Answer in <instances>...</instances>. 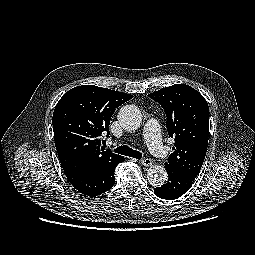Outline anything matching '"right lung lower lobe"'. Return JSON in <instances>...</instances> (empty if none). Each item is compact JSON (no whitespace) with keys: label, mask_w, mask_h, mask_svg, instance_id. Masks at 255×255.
I'll list each match as a JSON object with an SVG mask.
<instances>
[{"label":"right lung lower lobe","mask_w":255,"mask_h":255,"mask_svg":"<svg viewBox=\"0 0 255 255\" xmlns=\"http://www.w3.org/2000/svg\"><path fill=\"white\" fill-rule=\"evenodd\" d=\"M123 158L114 165L104 170H92V171H64L67 179L72 186L81 194L96 197L109 189L115 183L114 171L117 164L123 162Z\"/></svg>","instance_id":"1"}]
</instances>
